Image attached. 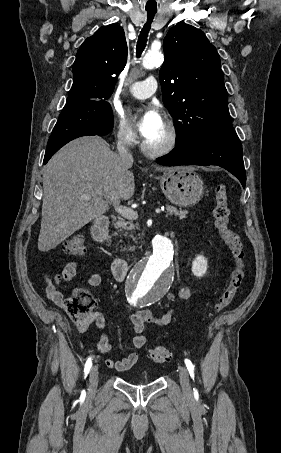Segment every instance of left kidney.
<instances>
[{"label": "left kidney", "instance_id": "left-kidney-1", "mask_svg": "<svg viewBox=\"0 0 281 453\" xmlns=\"http://www.w3.org/2000/svg\"><path fill=\"white\" fill-rule=\"evenodd\" d=\"M193 275H196V277H203L207 271V259L205 257H202V255H199V257H196L192 263V269H191Z\"/></svg>", "mask_w": 281, "mask_h": 453}]
</instances>
